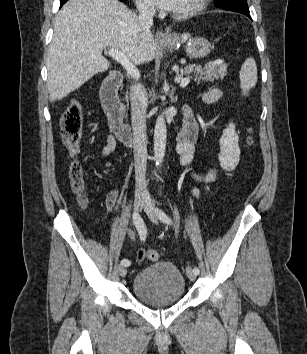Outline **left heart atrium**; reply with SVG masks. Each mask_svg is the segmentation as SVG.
Masks as SVG:
<instances>
[{"label": "left heart atrium", "mask_w": 307, "mask_h": 354, "mask_svg": "<svg viewBox=\"0 0 307 354\" xmlns=\"http://www.w3.org/2000/svg\"><path fill=\"white\" fill-rule=\"evenodd\" d=\"M151 2L162 10L173 11L178 0H151Z\"/></svg>", "instance_id": "39dd6f15"}]
</instances>
